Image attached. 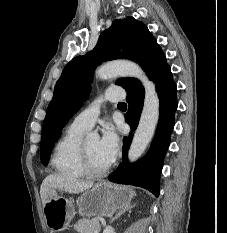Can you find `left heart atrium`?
<instances>
[{
    "mask_svg": "<svg viewBox=\"0 0 227 233\" xmlns=\"http://www.w3.org/2000/svg\"><path fill=\"white\" fill-rule=\"evenodd\" d=\"M119 149V138L110 125H105L102 130V136L99 140V151L101 155L109 162H113Z\"/></svg>",
    "mask_w": 227,
    "mask_h": 233,
    "instance_id": "left-heart-atrium-1",
    "label": "left heart atrium"
}]
</instances>
